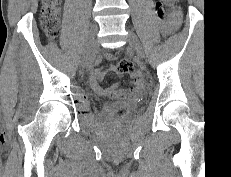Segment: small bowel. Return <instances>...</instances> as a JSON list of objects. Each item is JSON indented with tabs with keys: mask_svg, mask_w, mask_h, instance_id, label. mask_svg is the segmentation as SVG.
Returning <instances> with one entry per match:
<instances>
[{
	"mask_svg": "<svg viewBox=\"0 0 231 177\" xmlns=\"http://www.w3.org/2000/svg\"><path fill=\"white\" fill-rule=\"evenodd\" d=\"M176 24H177V19L176 18H172V19L162 23L163 32L164 33L171 32ZM106 58L108 60H114L115 56L112 55V54H107ZM108 70L109 71H114V70H116V67L111 65V66L108 67ZM104 75H105V71H102V70H99V69L93 70L91 75H90V78H89V83H90L91 88L96 93H98L100 95H110V94L114 93L117 90L118 85L114 84L109 88L102 87L100 83H101ZM135 78H137V75H135ZM142 89H143V86L141 84H138L136 86V88H135V91L140 92V91H142Z\"/></svg>",
	"mask_w": 231,
	"mask_h": 177,
	"instance_id": "c3829d8e",
	"label": "small bowel"
}]
</instances>
